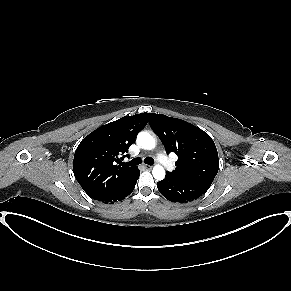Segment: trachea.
<instances>
[{
	"mask_svg": "<svg viewBox=\"0 0 291 291\" xmlns=\"http://www.w3.org/2000/svg\"><path fill=\"white\" fill-rule=\"evenodd\" d=\"M142 163V160L140 158H134L132 159L130 162H128V165L134 166V165H139ZM144 163L148 164V165H153L154 164V160L151 157H146L144 159Z\"/></svg>",
	"mask_w": 291,
	"mask_h": 291,
	"instance_id": "trachea-1",
	"label": "trachea"
}]
</instances>
